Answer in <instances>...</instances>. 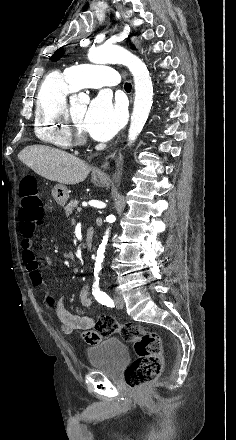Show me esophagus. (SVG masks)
I'll list each match as a JSON object with an SVG mask.
<instances>
[{"instance_id": "34e87169", "label": "esophagus", "mask_w": 236, "mask_h": 440, "mask_svg": "<svg viewBox=\"0 0 236 440\" xmlns=\"http://www.w3.org/2000/svg\"><path fill=\"white\" fill-rule=\"evenodd\" d=\"M110 168V161L108 158L103 159L100 168L95 170V173L98 175L104 174L105 171H107Z\"/></svg>"}]
</instances>
